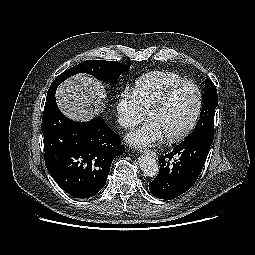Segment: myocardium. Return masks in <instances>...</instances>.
<instances>
[{
	"instance_id": "f54148a6",
	"label": "myocardium",
	"mask_w": 255,
	"mask_h": 255,
	"mask_svg": "<svg viewBox=\"0 0 255 255\" xmlns=\"http://www.w3.org/2000/svg\"><path fill=\"white\" fill-rule=\"evenodd\" d=\"M187 85L194 86L195 89L197 90L198 100H197L196 110H195L194 115L191 118L190 122L188 123V125L181 132H179L175 135L165 136L167 142H169V143H177V142L184 140L192 132L195 125L197 124V121L201 115L202 106H203V94H202V91H201L199 85H197L195 82L189 81V80H185V81L175 85L174 87L170 88L154 104V106L148 112V118H150L151 115L162 110L169 103L170 99L177 91H179L180 89H182L183 87H185Z\"/></svg>"
}]
</instances>
